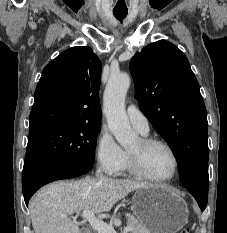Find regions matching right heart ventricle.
I'll return each mask as SVG.
<instances>
[{
    "label": "right heart ventricle",
    "mask_w": 227,
    "mask_h": 233,
    "mask_svg": "<svg viewBox=\"0 0 227 233\" xmlns=\"http://www.w3.org/2000/svg\"><path fill=\"white\" fill-rule=\"evenodd\" d=\"M142 134V133H141ZM143 135H146V134H143ZM123 170L124 171H128L130 173H133L132 169H131V166H130V162H129V156H128V153L126 152V160H125V164H124V167H123ZM122 170V171H123Z\"/></svg>",
    "instance_id": "e07e8e85"
}]
</instances>
